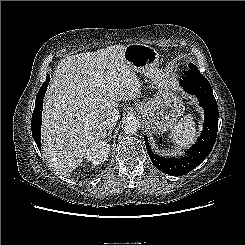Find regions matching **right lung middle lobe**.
<instances>
[{
	"label": "right lung middle lobe",
	"instance_id": "dd1d6c3e",
	"mask_svg": "<svg viewBox=\"0 0 245 245\" xmlns=\"http://www.w3.org/2000/svg\"><path fill=\"white\" fill-rule=\"evenodd\" d=\"M49 78H50V75H47L46 81L43 83V85L41 86V88H40V90H39V92H38V94L36 96V100H39V97L42 95L41 93H45L46 92L47 86L49 84Z\"/></svg>",
	"mask_w": 245,
	"mask_h": 245
}]
</instances>
